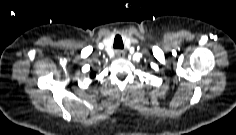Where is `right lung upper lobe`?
Segmentation results:
<instances>
[{
	"instance_id": "cb5924a9",
	"label": "right lung upper lobe",
	"mask_w": 236,
	"mask_h": 135,
	"mask_svg": "<svg viewBox=\"0 0 236 135\" xmlns=\"http://www.w3.org/2000/svg\"><path fill=\"white\" fill-rule=\"evenodd\" d=\"M95 75H96V73H95V72H91V74H90V77H91V78H94V77H95Z\"/></svg>"
}]
</instances>
